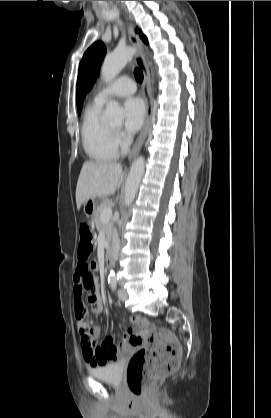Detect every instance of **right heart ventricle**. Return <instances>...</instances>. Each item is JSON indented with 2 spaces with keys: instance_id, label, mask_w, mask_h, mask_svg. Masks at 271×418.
Instances as JSON below:
<instances>
[{
  "instance_id": "1",
  "label": "right heart ventricle",
  "mask_w": 271,
  "mask_h": 418,
  "mask_svg": "<svg viewBox=\"0 0 271 418\" xmlns=\"http://www.w3.org/2000/svg\"><path fill=\"white\" fill-rule=\"evenodd\" d=\"M102 104L94 102L85 112L81 126L82 145L88 157L97 162L118 157L114 131L101 120Z\"/></svg>"
}]
</instances>
